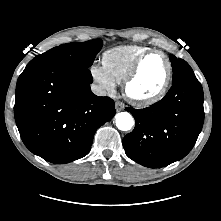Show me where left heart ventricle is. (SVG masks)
I'll list each match as a JSON object with an SVG mask.
<instances>
[{
	"instance_id": "b2bd125f",
	"label": "left heart ventricle",
	"mask_w": 221,
	"mask_h": 221,
	"mask_svg": "<svg viewBox=\"0 0 221 221\" xmlns=\"http://www.w3.org/2000/svg\"><path fill=\"white\" fill-rule=\"evenodd\" d=\"M167 73V64L160 54H151L141 65L140 71L133 81L132 94L144 97L156 93L162 86Z\"/></svg>"
}]
</instances>
